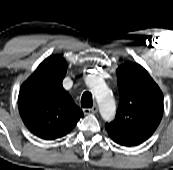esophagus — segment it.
I'll use <instances>...</instances> for the list:
<instances>
[{
	"label": "esophagus",
	"mask_w": 173,
	"mask_h": 170,
	"mask_svg": "<svg viewBox=\"0 0 173 170\" xmlns=\"http://www.w3.org/2000/svg\"><path fill=\"white\" fill-rule=\"evenodd\" d=\"M84 114H89V113H97L98 112V107L97 105H94L92 108H84L83 109Z\"/></svg>",
	"instance_id": "obj_1"
}]
</instances>
